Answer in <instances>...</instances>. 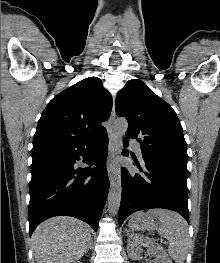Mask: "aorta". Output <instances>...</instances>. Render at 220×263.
<instances>
[{
	"mask_svg": "<svg viewBox=\"0 0 220 263\" xmlns=\"http://www.w3.org/2000/svg\"><path fill=\"white\" fill-rule=\"evenodd\" d=\"M128 123L126 119L119 118L115 120L113 124V132L117 143L121 146V139L126 133ZM122 193V182H121V167L118 165L114 170L113 177L110 183V190L108 194V210L112 215L118 213Z\"/></svg>",
	"mask_w": 220,
	"mask_h": 263,
	"instance_id": "obj_1",
	"label": "aorta"
}]
</instances>
